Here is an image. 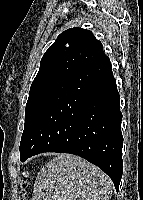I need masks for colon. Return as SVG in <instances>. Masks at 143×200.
<instances>
[{
	"label": "colon",
	"instance_id": "colon-1",
	"mask_svg": "<svg viewBox=\"0 0 143 200\" xmlns=\"http://www.w3.org/2000/svg\"><path fill=\"white\" fill-rule=\"evenodd\" d=\"M21 186H22V188H25V186H26V181L25 180H23L22 181V184H21ZM20 200H24V195L22 194V196H21V199Z\"/></svg>",
	"mask_w": 143,
	"mask_h": 200
}]
</instances>
